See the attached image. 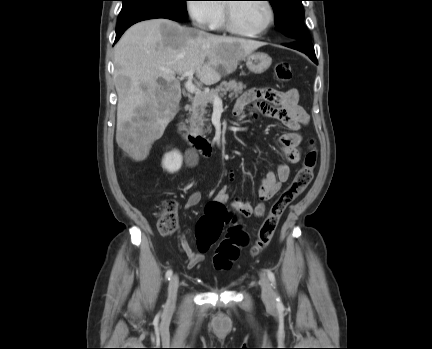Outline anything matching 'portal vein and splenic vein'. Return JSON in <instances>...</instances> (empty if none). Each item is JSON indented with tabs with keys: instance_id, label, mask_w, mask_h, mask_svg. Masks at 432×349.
I'll return each mask as SVG.
<instances>
[{
	"instance_id": "18ae733b",
	"label": "portal vein and splenic vein",
	"mask_w": 432,
	"mask_h": 349,
	"mask_svg": "<svg viewBox=\"0 0 432 349\" xmlns=\"http://www.w3.org/2000/svg\"><path fill=\"white\" fill-rule=\"evenodd\" d=\"M165 71L172 76L175 75V73L170 71V70H165ZM183 75L188 78V80L185 82V88L187 89V91L190 93L198 94L199 89L192 82L194 71L193 70L188 71V72L184 73ZM213 103L216 105H222V100L218 95H216V96H213Z\"/></svg>"
}]
</instances>
